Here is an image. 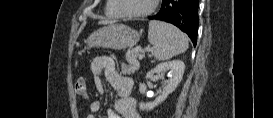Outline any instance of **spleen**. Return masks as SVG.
<instances>
[{"instance_id": "3e777b00", "label": "spleen", "mask_w": 273, "mask_h": 118, "mask_svg": "<svg viewBox=\"0 0 273 118\" xmlns=\"http://www.w3.org/2000/svg\"><path fill=\"white\" fill-rule=\"evenodd\" d=\"M148 40L153 45L154 57L157 60L170 59L188 49L187 36L164 22H149Z\"/></svg>"}]
</instances>
